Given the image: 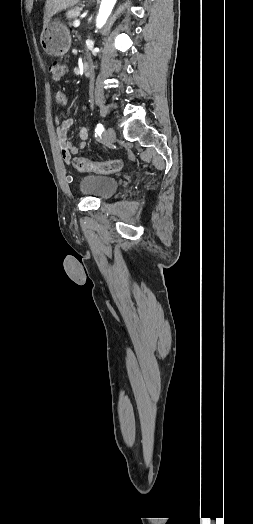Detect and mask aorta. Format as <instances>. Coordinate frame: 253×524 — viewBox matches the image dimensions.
I'll return each instance as SVG.
<instances>
[{
  "label": "aorta",
  "instance_id": "obj_1",
  "mask_svg": "<svg viewBox=\"0 0 253 524\" xmlns=\"http://www.w3.org/2000/svg\"><path fill=\"white\" fill-rule=\"evenodd\" d=\"M116 3V0H102L99 14L97 17V27L101 28L107 21L109 15L111 14L113 7Z\"/></svg>",
  "mask_w": 253,
  "mask_h": 524
}]
</instances>
